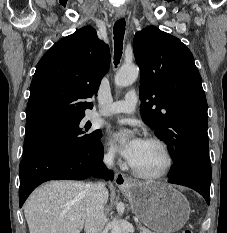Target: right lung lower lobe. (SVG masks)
I'll return each instance as SVG.
<instances>
[{
  "label": "right lung lower lobe",
  "instance_id": "right-lung-lower-lobe-1",
  "mask_svg": "<svg viewBox=\"0 0 227 233\" xmlns=\"http://www.w3.org/2000/svg\"><path fill=\"white\" fill-rule=\"evenodd\" d=\"M103 154V146L98 139L84 150L51 148L23 157L19 167L20 207L37 186L49 180H82L90 176L112 180L113 172L102 163Z\"/></svg>",
  "mask_w": 227,
  "mask_h": 233
}]
</instances>
